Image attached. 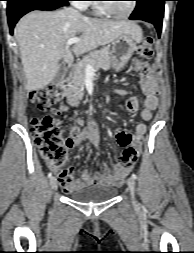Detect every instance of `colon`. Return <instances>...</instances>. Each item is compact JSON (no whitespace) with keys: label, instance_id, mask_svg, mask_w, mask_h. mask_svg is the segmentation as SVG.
<instances>
[{"label":"colon","instance_id":"colon-1","mask_svg":"<svg viewBox=\"0 0 194 253\" xmlns=\"http://www.w3.org/2000/svg\"><path fill=\"white\" fill-rule=\"evenodd\" d=\"M153 41L147 37L141 41L137 48V57L134 61L135 67L140 68L142 62L149 59L153 54ZM30 100L40 109L48 110L57 102V94L51 86L37 89L30 94ZM31 129L35 138V143L41 156L50 164L60 168L66 162V138L63 136L60 122L56 113L46 114L41 118H34L31 121ZM79 129L74 127L71 135H76ZM138 158V153L133 148L124 150L119 163L115 167V172L129 167H133Z\"/></svg>","mask_w":194,"mask_h":253}]
</instances>
